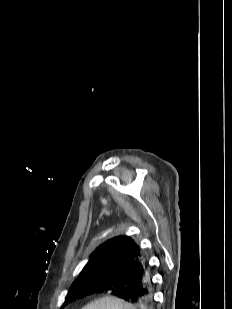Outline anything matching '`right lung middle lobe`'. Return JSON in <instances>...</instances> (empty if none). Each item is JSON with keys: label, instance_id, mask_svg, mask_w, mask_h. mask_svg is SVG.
<instances>
[{"label": "right lung middle lobe", "instance_id": "1", "mask_svg": "<svg viewBox=\"0 0 232 309\" xmlns=\"http://www.w3.org/2000/svg\"><path fill=\"white\" fill-rule=\"evenodd\" d=\"M130 279L128 274L114 273L109 271H96L86 275L79 276L70 288L63 307L86 296L87 288L92 285L99 286L105 282L113 283L117 280L127 281Z\"/></svg>", "mask_w": 232, "mask_h": 309}]
</instances>
